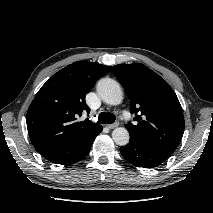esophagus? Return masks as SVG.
<instances>
[{
  "label": "esophagus",
  "mask_w": 213,
  "mask_h": 213,
  "mask_svg": "<svg viewBox=\"0 0 213 213\" xmlns=\"http://www.w3.org/2000/svg\"><path fill=\"white\" fill-rule=\"evenodd\" d=\"M118 126H119V123H118V122H115V123H113V124H108V125H107V127H108L109 129H114V128L118 127Z\"/></svg>",
  "instance_id": "esophagus-1"
}]
</instances>
